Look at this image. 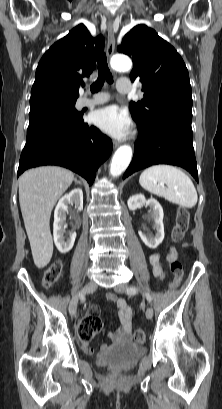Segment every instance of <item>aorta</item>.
Listing matches in <instances>:
<instances>
[{
	"mask_svg": "<svg viewBox=\"0 0 222 409\" xmlns=\"http://www.w3.org/2000/svg\"><path fill=\"white\" fill-rule=\"evenodd\" d=\"M111 67L116 71H129L132 62L127 56L116 55L111 59ZM132 159V148L128 145L119 147L113 155L110 174L114 177L120 176L129 166Z\"/></svg>",
	"mask_w": 222,
	"mask_h": 409,
	"instance_id": "762f6f07",
	"label": "aorta"
}]
</instances>
